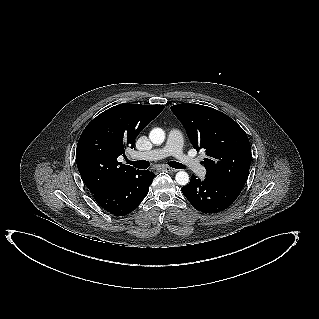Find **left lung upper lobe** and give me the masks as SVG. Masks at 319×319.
<instances>
[{"label":"left lung upper lobe","instance_id":"left-lung-upper-lobe-1","mask_svg":"<svg viewBox=\"0 0 319 319\" xmlns=\"http://www.w3.org/2000/svg\"><path fill=\"white\" fill-rule=\"evenodd\" d=\"M171 110L182 122L194 148L206 151V178L241 192L252 160L243 129L226 114L208 106L184 103Z\"/></svg>","mask_w":319,"mask_h":319}]
</instances>
